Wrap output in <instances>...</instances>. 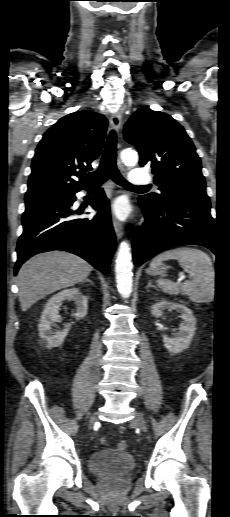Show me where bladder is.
<instances>
[{
	"label": "bladder",
	"mask_w": 230,
	"mask_h": 517,
	"mask_svg": "<svg viewBox=\"0 0 230 517\" xmlns=\"http://www.w3.org/2000/svg\"><path fill=\"white\" fill-rule=\"evenodd\" d=\"M133 455L113 448L93 453L89 458V469L100 475H123L135 467Z\"/></svg>",
	"instance_id": "obj_1"
}]
</instances>
